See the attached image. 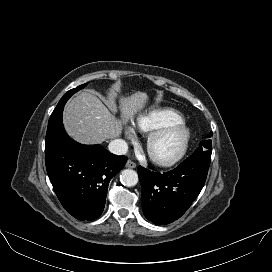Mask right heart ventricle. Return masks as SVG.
Wrapping results in <instances>:
<instances>
[{
    "label": "right heart ventricle",
    "instance_id": "right-heart-ventricle-1",
    "mask_svg": "<svg viewBox=\"0 0 272 272\" xmlns=\"http://www.w3.org/2000/svg\"><path fill=\"white\" fill-rule=\"evenodd\" d=\"M183 116L170 108H157L148 111L137 120V127L144 132H153L176 122H182Z\"/></svg>",
    "mask_w": 272,
    "mask_h": 272
}]
</instances>
